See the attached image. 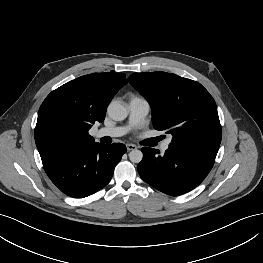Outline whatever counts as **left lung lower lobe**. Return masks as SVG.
Returning <instances> with one entry per match:
<instances>
[{
    "label": "left lung lower lobe",
    "instance_id": "1",
    "mask_svg": "<svg viewBox=\"0 0 263 263\" xmlns=\"http://www.w3.org/2000/svg\"><path fill=\"white\" fill-rule=\"evenodd\" d=\"M138 164L141 178L157 190L172 196L197 187L212 169L218 149L169 145L163 155L143 147Z\"/></svg>",
    "mask_w": 263,
    "mask_h": 263
}]
</instances>
